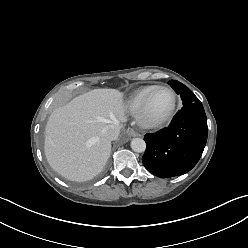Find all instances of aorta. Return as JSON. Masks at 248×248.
Here are the masks:
<instances>
[{
	"instance_id": "1",
	"label": "aorta",
	"mask_w": 248,
	"mask_h": 248,
	"mask_svg": "<svg viewBox=\"0 0 248 248\" xmlns=\"http://www.w3.org/2000/svg\"><path fill=\"white\" fill-rule=\"evenodd\" d=\"M131 148L134 152L142 153L146 149V143L142 138H133L131 140Z\"/></svg>"
}]
</instances>
